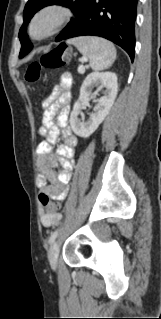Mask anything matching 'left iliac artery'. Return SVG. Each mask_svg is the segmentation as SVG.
I'll list each match as a JSON object with an SVG mask.
<instances>
[{"instance_id": "obj_1", "label": "left iliac artery", "mask_w": 161, "mask_h": 319, "mask_svg": "<svg viewBox=\"0 0 161 319\" xmlns=\"http://www.w3.org/2000/svg\"><path fill=\"white\" fill-rule=\"evenodd\" d=\"M57 234H58V230H55V231L51 234V236H50V238H49V243H52V242L55 240V238L57 237Z\"/></svg>"}]
</instances>
